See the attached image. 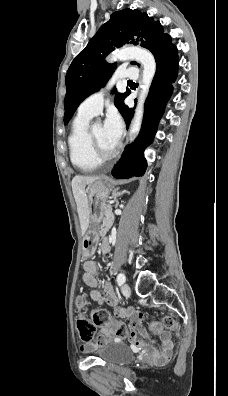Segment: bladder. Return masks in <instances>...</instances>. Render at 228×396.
<instances>
[{"instance_id": "obj_1", "label": "bladder", "mask_w": 228, "mask_h": 396, "mask_svg": "<svg viewBox=\"0 0 228 396\" xmlns=\"http://www.w3.org/2000/svg\"><path fill=\"white\" fill-rule=\"evenodd\" d=\"M89 352L101 358L107 364L112 365L126 364L134 357L131 348L127 344L113 341L92 348Z\"/></svg>"}]
</instances>
